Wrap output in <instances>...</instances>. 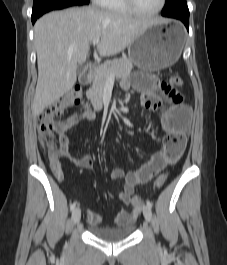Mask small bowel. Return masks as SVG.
<instances>
[{"label": "small bowel", "mask_w": 227, "mask_h": 265, "mask_svg": "<svg viewBox=\"0 0 227 265\" xmlns=\"http://www.w3.org/2000/svg\"><path fill=\"white\" fill-rule=\"evenodd\" d=\"M127 78L122 81L121 88L128 91L133 88L140 93L142 105L149 110L156 111L163 99L171 105L161 114V127L165 133L163 147L154 153L151 158L139 169L125 172L120 168H114L110 172L112 179H123L124 185L118 198L126 205L132 204L135 187L144 184L156 176L169 163L177 160L185 147L184 132L190 124V109L182 102V96L168 84L160 82L152 72H128ZM93 120L95 113L92 111L77 113L68 119L59 121L54 125V132L59 137L57 147L49 150L50 168L59 181H63L64 175L59 162L65 158L77 167L91 168L92 158L88 155L77 156L70 151L67 131L72 125L82 119ZM133 215L127 210H121L115 217L117 225H123L132 221ZM87 220L91 225H99L102 217L91 210L87 211Z\"/></svg>", "instance_id": "c3829d8e"}]
</instances>
